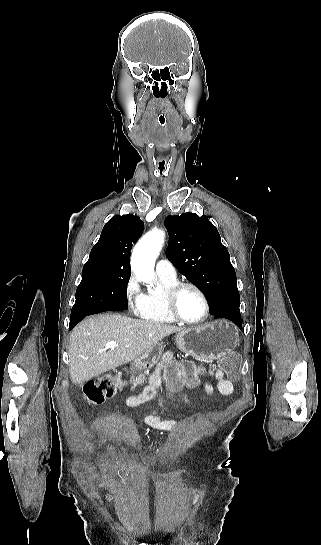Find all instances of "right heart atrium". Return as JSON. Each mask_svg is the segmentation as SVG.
<instances>
[{"mask_svg":"<svg viewBox=\"0 0 321 545\" xmlns=\"http://www.w3.org/2000/svg\"><path fill=\"white\" fill-rule=\"evenodd\" d=\"M123 295L131 314L140 316L146 302V295L137 278L131 273L123 286Z\"/></svg>","mask_w":321,"mask_h":545,"instance_id":"obj_1","label":"right heart atrium"}]
</instances>
